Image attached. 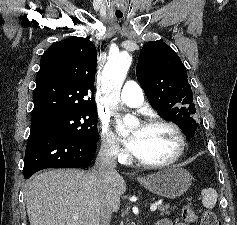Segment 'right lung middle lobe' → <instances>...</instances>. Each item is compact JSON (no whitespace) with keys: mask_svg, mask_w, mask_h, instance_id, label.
Returning a JSON list of instances; mask_svg holds the SVG:
<instances>
[{"mask_svg":"<svg viewBox=\"0 0 237 225\" xmlns=\"http://www.w3.org/2000/svg\"><path fill=\"white\" fill-rule=\"evenodd\" d=\"M96 109L80 110L32 121V130L40 129L64 134L85 142L97 143Z\"/></svg>","mask_w":237,"mask_h":225,"instance_id":"1","label":"right lung middle lobe"}]
</instances>
